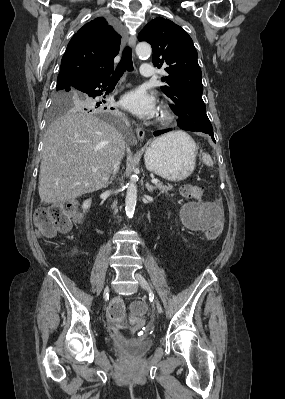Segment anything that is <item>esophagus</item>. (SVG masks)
<instances>
[{"instance_id":"34e87169","label":"esophagus","mask_w":285,"mask_h":399,"mask_svg":"<svg viewBox=\"0 0 285 399\" xmlns=\"http://www.w3.org/2000/svg\"><path fill=\"white\" fill-rule=\"evenodd\" d=\"M128 44L130 47L134 48V46L136 44V35H134V34L130 35V37L128 38ZM136 134H137V137L139 140H143V138L145 136V131L143 128L137 127Z\"/></svg>"}]
</instances>
